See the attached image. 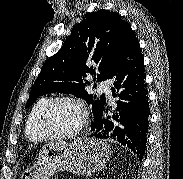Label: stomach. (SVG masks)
<instances>
[{"label": "stomach", "mask_w": 183, "mask_h": 179, "mask_svg": "<svg viewBox=\"0 0 183 179\" xmlns=\"http://www.w3.org/2000/svg\"><path fill=\"white\" fill-rule=\"evenodd\" d=\"M110 157V146L104 140H55L42 147L37 161L27 166L21 179H50L59 171L85 175L102 170Z\"/></svg>", "instance_id": "0dacf381"}]
</instances>
